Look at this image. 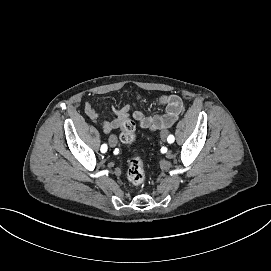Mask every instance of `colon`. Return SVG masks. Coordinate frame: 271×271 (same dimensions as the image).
<instances>
[{
	"label": "colon",
	"mask_w": 271,
	"mask_h": 271,
	"mask_svg": "<svg viewBox=\"0 0 271 271\" xmlns=\"http://www.w3.org/2000/svg\"><path fill=\"white\" fill-rule=\"evenodd\" d=\"M120 139L124 144L130 145L135 142V123L133 120L127 118L121 124V135ZM128 180L136 186H139L145 181V170L144 163L141 157L135 156L129 161Z\"/></svg>",
	"instance_id": "obj_1"
}]
</instances>
